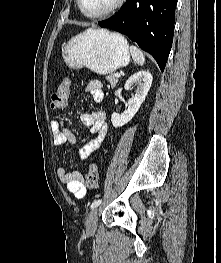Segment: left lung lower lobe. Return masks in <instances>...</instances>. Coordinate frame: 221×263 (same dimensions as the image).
<instances>
[{
    "instance_id": "left-lung-lower-lobe-1",
    "label": "left lung lower lobe",
    "mask_w": 221,
    "mask_h": 263,
    "mask_svg": "<svg viewBox=\"0 0 221 263\" xmlns=\"http://www.w3.org/2000/svg\"><path fill=\"white\" fill-rule=\"evenodd\" d=\"M176 4L177 0H126L114 16L98 24L128 36L163 71L173 41Z\"/></svg>"
}]
</instances>
